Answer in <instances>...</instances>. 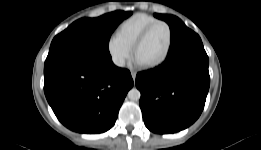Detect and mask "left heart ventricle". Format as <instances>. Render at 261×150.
I'll list each match as a JSON object with an SVG mask.
<instances>
[{"mask_svg":"<svg viewBox=\"0 0 261 150\" xmlns=\"http://www.w3.org/2000/svg\"><path fill=\"white\" fill-rule=\"evenodd\" d=\"M168 30L164 25L156 26L138 48L136 59L142 65H149L160 60L168 47Z\"/></svg>","mask_w":261,"mask_h":150,"instance_id":"b2bd125f","label":"left heart ventricle"}]
</instances>
